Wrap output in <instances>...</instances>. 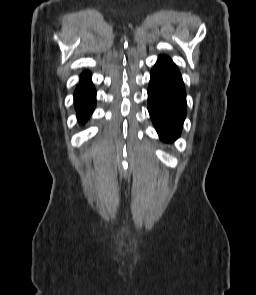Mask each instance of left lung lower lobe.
Returning <instances> with one entry per match:
<instances>
[{
  "mask_svg": "<svg viewBox=\"0 0 256 295\" xmlns=\"http://www.w3.org/2000/svg\"><path fill=\"white\" fill-rule=\"evenodd\" d=\"M186 93L181 74L173 62L158 60L151 70L148 111L165 142L176 140L186 117Z\"/></svg>",
  "mask_w": 256,
  "mask_h": 295,
  "instance_id": "obj_1",
  "label": "left lung lower lobe"
}]
</instances>
